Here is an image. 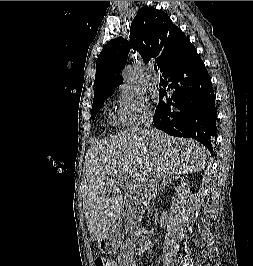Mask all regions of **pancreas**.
<instances>
[{"mask_svg": "<svg viewBox=\"0 0 253 266\" xmlns=\"http://www.w3.org/2000/svg\"><path fill=\"white\" fill-rule=\"evenodd\" d=\"M133 202H135V199H132L130 204H132ZM130 204H129L128 210H127V216H128L127 217V227L128 228L135 227L137 222H139L141 219V216H140L141 211L137 210L136 206L132 207Z\"/></svg>", "mask_w": 253, "mask_h": 266, "instance_id": "obj_1", "label": "pancreas"}]
</instances>
